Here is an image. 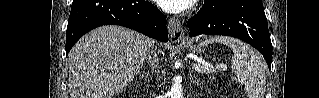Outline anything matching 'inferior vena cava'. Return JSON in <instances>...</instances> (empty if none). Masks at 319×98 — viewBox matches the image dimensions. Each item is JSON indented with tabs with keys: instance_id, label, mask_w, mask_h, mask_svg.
<instances>
[{
	"instance_id": "inferior-vena-cava-1",
	"label": "inferior vena cava",
	"mask_w": 319,
	"mask_h": 98,
	"mask_svg": "<svg viewBox=\"0 0 319 98\" xmlns=\"http://www.w3.org/2000/svg\"><path fill=\"white\" fill-rule=\"evenodd\" d=\"M147 60H148V63L150 64L151 66V69H152V72L157 74V76L159 75V60H158V57H157V53H156V50L154 49L153 46H151V48L149 49V51L147 52ZM161 77L159 76V79Z\"/></svg>"
}]
</instances>
